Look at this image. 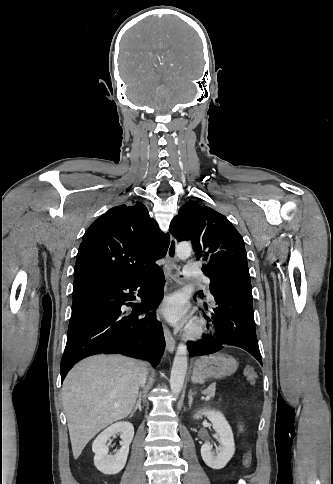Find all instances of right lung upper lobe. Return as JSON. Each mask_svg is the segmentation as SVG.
Wrapping results in <instances>:
<instances>
[{
	"label": "right lung upper lobe",
	"instance_id": "cb5924a9",
	"mask_svg": "<svg viewBox=\"0 0 333 484\" xmlns=\"http://www.w3.org/2000/svg\"><path fill=\"white\" fill-rule=\"evenodd\" d=\"M164 235L147 208L137 202L108 210L85 232L74 268V284L93 279L133 280L165 256Z\"/></svg>",
	"mask_w": 333,
	"mask_h": 484
}]
</instances>
